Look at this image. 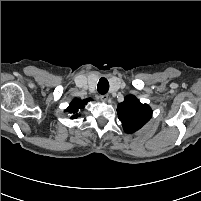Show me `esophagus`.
Masks as SVG:
<instances>
[{
    "label": "esophagus",
    "instance_id": "1",
    "mask_svg": "<svg viewBox=\"0 0 201 201\" xmlns=\"http://www.w3.org/2000/svg\"><path fill=\"white\" fill-rule=\"evenodd\" d=\"M99 98L102 102H106L108 100V95H100Z\"/></svg>",
    "mask_w": 201,
    "mask_h": 201
}]
</instances>
